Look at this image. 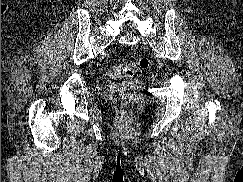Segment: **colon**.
I'll list each match as a JSON object with an SVG mask.
<instances>
[{
    "label": "colon",
    "mask_w": 243,
    "mask_h": 182,
    "mask_svg": "<svg viewBox=\"0 0 243 182\" xmlns=\"http://www.w3.org/2000/svg\"><path fill=\"white\" fill-rule=\"evenodd\" d=\"M149 59L141 58L136 64H124L119 63L112 65L108 68V75L112 79H123L132 76L137 68L147 69L149 67ZM135 96L131 93H124L122 95L123 100V114L125 116H130L132 112V106L135 101Z\"/></svg>",
    "instance_id": "colon-1"
}]
</instances>
